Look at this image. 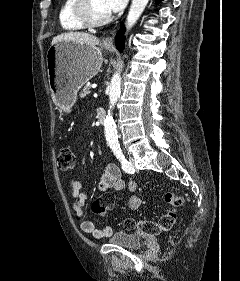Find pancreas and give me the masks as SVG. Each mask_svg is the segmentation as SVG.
I'll return each instance as SVG.
<instances>
[{
  "label": "pancreas",
  "instance_id": "obj_1",
  "mask_svg": "<svg viewBox=\"0 0 240 281\" xmlns=\"http://www.w3.org/2000/svg\"><path fill=\"white\" fill-rule=\"evenodd\" d=\"M88 94H90L89 87L85 86L80 93V97H86Z\"/></svg>",
  "mask_w": 240,
  "mask_h": 281
}]
</instances>
